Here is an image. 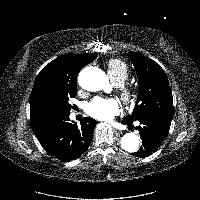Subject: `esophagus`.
Returning a JSON list of instances; mask_svg holds the SVG:
<instances>
[{
  "label": "esophagus",
  "instance_id": "34e87169",
  "mask_svg": "<svg viewBox=\"0 0 200 200\" xmlns=\"http://www.w3.org/2000/svg\"><path fill=\"white\" fill-rule=\"evenodd\" d=\"M114 132H115L116 134L121 133V131H120V130H117V129H114Z\"/></svg>",
  "mask_w": 200,
  "mask_h": 200
}]
</instances>
